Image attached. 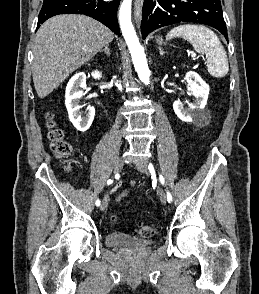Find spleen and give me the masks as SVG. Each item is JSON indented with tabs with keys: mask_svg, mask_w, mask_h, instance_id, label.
I'll return each mask as SVG.
<instances>
[{
	"mask_svg": "<svg viewBox=\"0 0 259 294\" xmlns=\"http://www.w3.org/2000/svg\"><path fill=\"white\" fill-rule=\"evenodd\" d=\"M181 37L190 42L195 51L207 57V70L213 77L222 78L229 70L227 54L216 34L202 25L185 24L173 28L166 40Z\"/></svg>",
	"mask_w": 259,
	"mask_h": 294,
	"instance_id": "obj_1",
	"label": "spleen"
}]
</instances>
